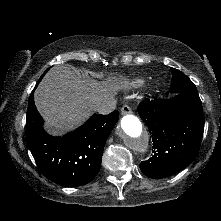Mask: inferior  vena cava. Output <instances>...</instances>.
I'll list each match as a JSON object with an SVG mask.
<instances>
[{"instance_id":"obj_1","label":"inferior vena cava","mask_w":221,"mask_h":221,"mask_svg":"<svg viewBox=\"0 0 221 221\" xmlns=\"http://www.w3.org/2000/svg\"><path fill=\"white\" fill-rule=\"evenodd\" d=\"M116 108V101L114 99H110L106 102H103L96 111L99 114H109Z\"/></svg>"}]
</instances>
